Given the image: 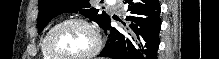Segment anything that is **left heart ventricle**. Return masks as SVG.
<instances>
[{
	"instance_id": "obj_1",
	"label": "left heart ventricle",
	"mask_w": 219,
	"mask_h": 59,
	"mask_svg": "<svg viewBox=\"0 0 219 59\" xmlns=\"http://www.w3.org/2000/svg\"><path fill=\"white\" fill-rule=\"evenodd\" d=\"M94 45L90 32L80 24H68L58 29L52 38L54 50L62 56H79Z\"/></svg>"
}]
</instances>
